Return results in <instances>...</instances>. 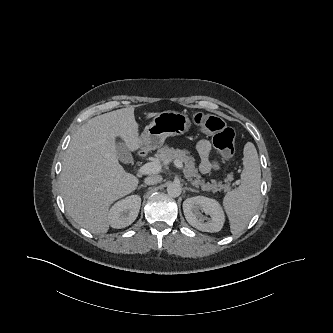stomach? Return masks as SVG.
I'll return each instance as SVG.
<instances>
[{"mask_svg":"<svg viewBox=\"0 0 333 333\" xmlns=\"http://www.w3.org/2000/svg\"><path fill=\"white\" fill-rule=\"evenodd\" d=\"M191 126L187 115L176 111L158 113L141 134V148L145 151L161 147L169 136L186 133Z\"/></svg>","mask_w":333,"mask_h":333,"instance_id":"0dacf381","label":"stomach"}]
</instances>
